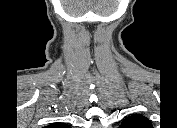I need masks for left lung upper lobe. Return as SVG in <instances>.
Here are the masks:
<instances>
[{
    "instance_id": "5c2ea615",
    "label": "left lung upper lobe",
    "mask_w": 177,
    "mask_h": 128,
    "mask_svg": "<svg viewBox=\"0 0 177 128\" xmlns=\"http://www.w3.org/2000/svg\"><path fill=\"white\" fill-rule=\"evenodd\" d=\"M120 128H152V125L146 117L135 114L124 119Z\"/></svg>"
}]
</instances>
